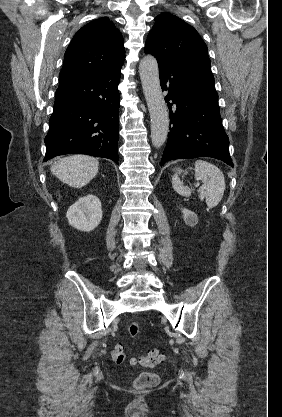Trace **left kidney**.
I'll list each match as a JSON object with an SVG mask.
<instances>
[{
    "mask_svg": "<svg viewBox=\"0 0 282 417\" xmlns=\"http://www.w3.org/2000/svg\"><path fill=\"white\" fill-rule=\"evenodd\" d=\"M182 213L183 219L186 225H188V227H195V225H197L198 217L196 213H193V211H189V209H182Z\"/></svg>",
    "mask_w": 282,
    "mask_h": 417,
    "instance_id": "left-kidney-1",
    "label": "left kidney"
}]
</instances>
